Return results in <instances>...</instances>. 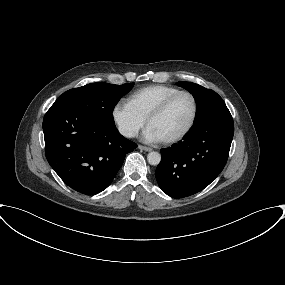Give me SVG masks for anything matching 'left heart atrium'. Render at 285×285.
<instances>
[{
    "mask_svg": "<svg viewBox=\"0 0 285 285\" xmlns=\"http://www.w3.org/2000/svg\"><path fill=\"white\" fill-rule=\"evenodd\" d=\"M143 139L149 143H155L161 141L159 137L154 133V131L149 127L145 130L143 134Z\"/></svg>",
    "mask_w": 285,
    "mask_h": 285,
    "instance_id": "obj_1",
    "label": "left heart atrium"
}]
</instances>
